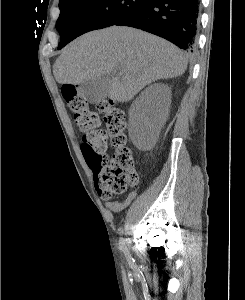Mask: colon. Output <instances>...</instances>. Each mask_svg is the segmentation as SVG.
Here are the masks:
<instances>
[{
    "label": "colon",
    "mask_w": 245,
    "mask_h": 300,
    "mask_svg": "<svg viewBox=\"0 0 245 300\" xmlns=\"http://www.w3.org/2000/svg\"><path fill=\"white\" fill-rule=\"evenodd\" d=\"M62 94L83 132L81 151L94 173L100 196L109 199L136 186L138 175L131 151L126 146L124 112L111 100H101L96 103V111L91 110L87 97L75 85L64 86ZM99 114L104 129L100 128ZM108 141L115 148L110 158L105 154Z\"/></svg>",
    "instance_id": "colon-1"
}]
</instances>
